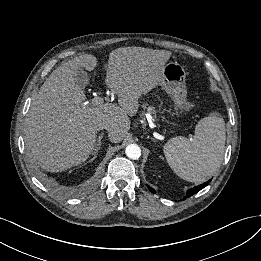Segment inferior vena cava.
Instances as JSON below:
<instances>
[{
    "label": "inferior vena cava",
    "mask_w": 261,
    "mask_h": 261,
    "mask_svg": "<svg viewBox=\"0 0 261 261\" xmlns=\"http://www.w3.org/2000/svg\"><path fill=\"white\" fill-rule=\"evenodd\" d=\"M101 129L109 130V127H108L107 125H102V126L99 128V130H101Z\"/></svg>",
    "instance_id": "inferior-vena-cava-1"
}]
</instances>
